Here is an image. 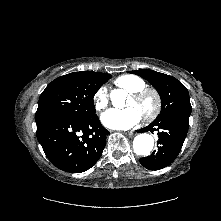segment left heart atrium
<instances>
[{"mask_svg":"<svg viewBox=\"0 0 221 221\" xmlns=\"http://www.w3.org/2000/svg\"><path fill=\"white\" fill-rule=\"evenodd\" d=\"M142 118L135 107L125 109H110L102 114L101 121L110 129L126 130L136 126Z\"/></svg>","mask_w":221,"mask_h":221,"instance_id":"obj_1","label":"left heart atrium"}]
</instances>
